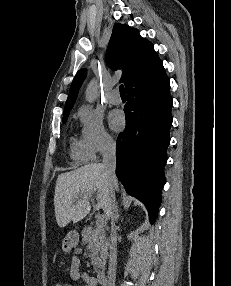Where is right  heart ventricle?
I'll return each instance as SVG.
<instances>
[{
  "instance_id": "right-heart-ventricle-1",
  "label": "right heart ventricle",
  "mask_w": 231,
  "mask_h": 286,
  "mask_svg": "<svg viewBox=\"0 0 231 286\" xmlns=\"http://www.w3.org/2000/svg\"><path fill=\"white\" fill-rule=\"evenodd\" d=\"M70 157L80 163L91 161L94 154L87 147L83 139L72 137L70 140Z\"/></svg>"
}]
</instances>
